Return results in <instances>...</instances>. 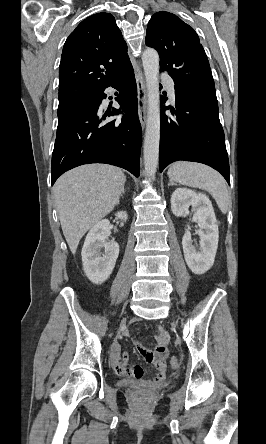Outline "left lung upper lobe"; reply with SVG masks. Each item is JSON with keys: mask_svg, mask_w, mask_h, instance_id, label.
<instances>
[{"mask_svg": "<svg viewBox=\"0 0 266 444\" xmlns=\"http://www.w3.org/2000/svg\"><path fill=\"white\" fill-rule=\"evenodd\" d=\"M146 45L160 56V71L175 85L215 87L209 61L195 30L176 15L157 12L149 21Z\"/></svg>", "mask_w": 266, "mask_h": 444, "instance_id": "left-lung-upper-lobe-1", "label": "left lung upper lobe"}]
</instances>
